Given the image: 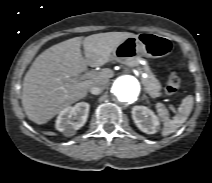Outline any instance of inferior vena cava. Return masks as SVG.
Here are the masks:
<instances>
[{
  "mask_svg": "<svg viewBox=\"0 0 212 183\" xmlns=\"http://www.w3.org/2000/svg\"><path fill=\"white\" fill-rule=\"evenodd\" d=\"M106 84L107 83H104V82H97L90 87L89 92L94 95H98L104 90V88L106 87Z\"/></svg>",
  "mask_w": 212,
  "mask_h": 183,
  "instance_id": "1",
  "label": "inferior vena cava"
}]
</instances>
